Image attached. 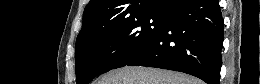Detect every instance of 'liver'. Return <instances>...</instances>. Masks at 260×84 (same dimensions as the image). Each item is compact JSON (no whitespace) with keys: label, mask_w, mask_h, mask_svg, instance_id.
Segmentation results:
<instances>
[{"label":"liver","mask_w":260,"mask_h":84,"mask_svg":"<svg viewBox=\"0 0 260 84\" xmlns=\"http://www.w3.org/2000/svg\"><path fill=\"white\" fill-rule=\"evenodd\" d=\"M96 84H203V82L181 72L125 66L103 75Z\"/></svg>","instance_id":"obj_1"}]
</instances>
